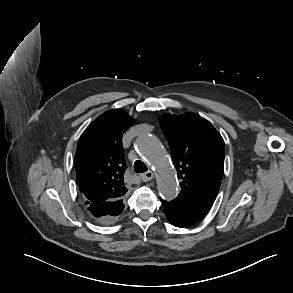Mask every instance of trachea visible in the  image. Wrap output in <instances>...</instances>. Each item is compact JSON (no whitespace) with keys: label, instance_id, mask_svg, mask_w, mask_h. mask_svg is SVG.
I'll return each mask as SVG.
<instances>
[{"label":"trachea","instance_id":"obj_1","mask_svg":"<svg viewBox=\"0 0 293 293\" xmlns=\"http://www.w3.org/2000/svg\"><path fill=\"white\" fill-rule=\"evenodd\" d=\"M134 171L136 173H143L147 171V166L145 165L144 162L137 160L134 163Z\"/></svg>","mask_w":293,"mask_h":293}]
</instances>
